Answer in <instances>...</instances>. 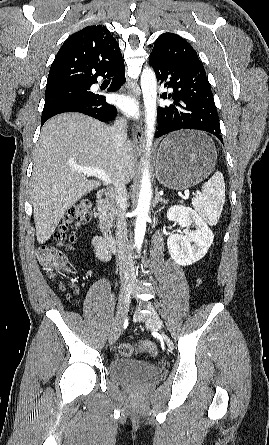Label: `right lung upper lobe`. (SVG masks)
<instances>
[{
  "label": "right lung upper lobe",
  "mask_w": 269,
  "mask_h": 445,
  "mask_svg": "<svg viewBox=\"0 0 269 445\" xmlns=\"http://www.w3.org/2000/svg\"><path fill=\"white\" fill-rule=\"evenodd\" d=\"M123 61L119 45L105 26H87L71 35L58 51L47 88L93 83Z\"/></svg>",
  "instance_id": "obj_1"
}]
</instances>
